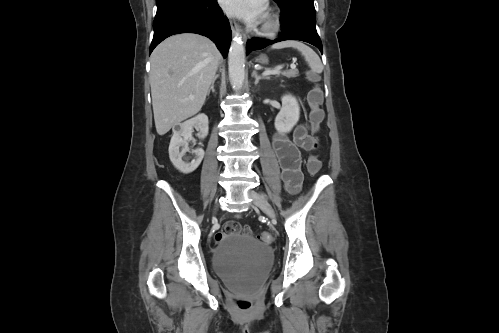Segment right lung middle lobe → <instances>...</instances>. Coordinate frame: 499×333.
Returning <instances> with one entry per match:
<instances>
[{"label":"right lung middle lobe","instance_id":"dd1d6c3e","mask_svg":"<svg viewBox=\"0 0 499 333\" xmlns=\"http://www.w3.org/2000/svg\"><path fill=\"white\" fill-rule=\"evenodd\" d=\"M162 0H156V4H158L159 2H161Z\"/></svg>","mask_w":499,"mask_h":333}]
</instances>
